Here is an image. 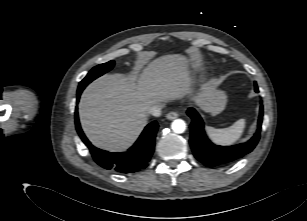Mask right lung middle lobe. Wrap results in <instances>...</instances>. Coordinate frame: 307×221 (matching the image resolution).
<instances>
[{"label": "right lung middle lobe", "instance_id": "1", "mask_svg": "<svg viewBox=\"0 0 307 221\" xmlns=\"http://www.w3.org/2000/svg\"><path fill=\"white\" fill-rule=\"evenodd\" d=\"M114 66V61H109L104 64H100L94 67L87 76L80 82L79 87L85 88L90 82H92L97 77L103 75L104 73L111 70Z\"/></svg>", "mask_w": 307, "mask_h": 221}]
</instances>
